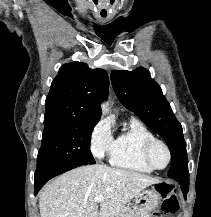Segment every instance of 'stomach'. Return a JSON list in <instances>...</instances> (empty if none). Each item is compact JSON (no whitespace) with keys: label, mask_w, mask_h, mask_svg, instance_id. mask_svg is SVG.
Returning a JSON list of instances; mask_svg holds the SVG:
<instances>
[{"label":"stomach","mask_w":211,"mask_h":217,"mask_svg":"<svg viewBox=\"0 0 211 217\" xmlns=\"http://www.w3.org/2000/svg\"><path fill=\"white\" fill-rule=\"evenodd\" d=\"M159 186H152L136 196L133 205V217H150V212L160 203Z\"/></svg>","instance_id":"stomach-1"}]
</instances>
